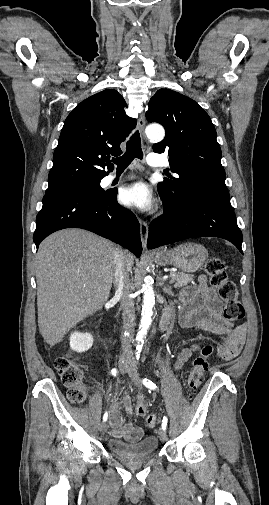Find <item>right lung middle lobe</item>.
<instances>
[{
  "label": "right lung middle lobe",
  "mask_w": 269,
  "mask_h": 505,
  "mask_svg": "<svg viewBox=\"0 0 269 505\" xmlns=\"http://www.w3.org/2000/svg\"><path fill=\"white\" fill-rule=\"evenodd\" d=\"M100 180L101 179H93V180H88L80 183H76L70 186L58 188V189H52V190H46V194H51V193H57V192H63V191H77V192H85L97 197H103L106 194H108V191H104L100 187Z\"/></svg>",
  "instance_id": "obj_1"
}]
</instances>
